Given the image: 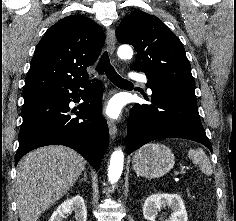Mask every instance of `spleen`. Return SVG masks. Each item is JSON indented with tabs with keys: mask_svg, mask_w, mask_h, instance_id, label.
<instances>
[{
	"mask_svg": "<svg viewBox=\"0 0 236 221\" xmlns=\"http://www.w3.org/2000/svg\"><path fill=\"white\" fill-rule=\"evenodd\" d=\"M188 157L192 160L194 164H198L200 166L201 171L206 175L212 174V167L208 157L206 156L203 149L198 148L196 150L190 149L188 151Z\"/></svg>",
	"mask_w": 236,
	"mask_h": 221,
	"instance_id": "spleen-1",
	"label": "spleen"
}]
</instances>
